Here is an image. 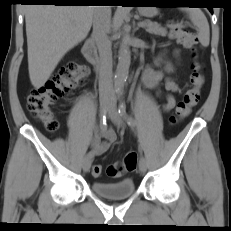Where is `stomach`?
Returning <instances> with one entry per match:
<instances>
[{
  "label": "stomach",
  "instance_id": "obj_1",
  "mask_svg": "<svg viewBox=\"0 0 231 231\" xmlns=\"http://www.w3.org/2000/svg\"><path fill=\"white\" fill-rule=\"evenodd\" d=\"M139 12L145 16H153V13L147 7H140Z\"/></svg>",
  "mask_w": 231,
  "mask_h": 231
}]
</instances>
